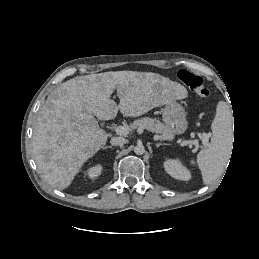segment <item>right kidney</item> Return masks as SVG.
Here are the masks:
<instances>
[{
	"label": "right kidney",
	"instance_id": "obj_1",
	"mask_svg": "<svg viewBox=\"0 0 259 259\" xmlns=\"http://www.w3.org/2000/svg\"><path fill=\"white\" fill-rule=\"evenodd\" d=\"M102 166L96 165L88 169L87 174L90 178H96L101 174Z\"/></svg>",
	"mask_w": 259,
	"mask_h": 259
}]
</instances>
